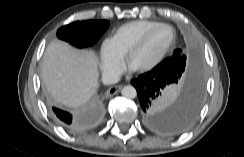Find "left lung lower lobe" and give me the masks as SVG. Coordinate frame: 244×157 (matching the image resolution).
I'll use <instances>...</instances> for the list:
<instances>
[{
  "instance_id": "left-lung-lower-lobe-1",
  "label": "left lung lower lobe",
  "mask_w": 244,
  "mask_h": 157,
  "mask_svg": "<svg viewBox=\"0 0 244 157\" xmlns=\"http://www.w3.org/2000/svg\"><path fill=\"white\" fill-rule=\"evenodd\" d=\"M184 80L180 97L166 100L167 93ZM137 90L146 124L161 134L175 135L186 131L199 114L204 80L197 66H185L181 76L151 70L131 81Z\"/></svg>"
}]
</instances>
